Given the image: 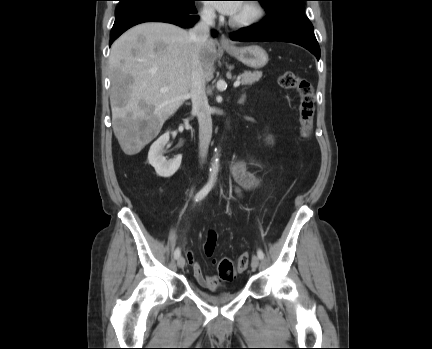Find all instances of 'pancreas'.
I'll return each mask as SVG.
<instances>
[{"mask_svg": "<svg viewBox=\"0 0 432 349\" xmlns=\"http://www.w3.org/2000/svg\"><path fill=\"white\" fill-rule=\"evenodd\" d=\"M262 77V72L260 71H245L243 74L239 76L241 79L242 85H252L253 83L259 81V79Z\"/></svg>", "mask_w": 432, "mask_h": 349, "instance_id": "pancreas-1", "label": "pancreas"}]
</instances>
